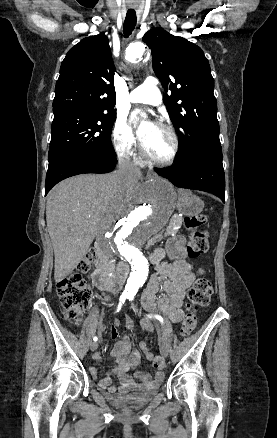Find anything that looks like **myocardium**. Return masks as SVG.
I'll use <instances>...</instances> for the list:
<instances>
[{"mask_svg": "<svg viewBox=\"0 0 277 438\" xmlns=\"http://www.w3.org/2000/svg\"><path fill=\"white\" fill-rule=\"evenodd\" d=\"M154 125H156L157 127L161 128L163 131H165L172 139L173 141V151L172 154L170 156V158H168L167 160H159L154 158L153 156H151L142 139L140 140V150H141V154L142 156L147 160V162L153 164V165H157V166H170L172 165L175 160L178 157L179 154V150H180V141H179V137L177 135V133L175 132V130L170 127L169 125L163 123V122H155Z\"/></svg>", "mask_w": 277, "mask_h": 438, "instance_id": "f54148a6", "label": "myocardium"}]
</instances>
